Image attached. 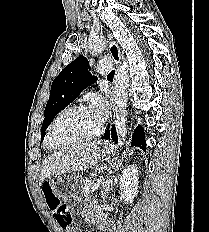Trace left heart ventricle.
I'll list each match as a JSON object with an SVG mask.
<instances>
[{
  "label": "left heart ventricle",
  "instance_id": "left-heart-ventricle-1",
  "mask_svg": "<svg viewBox=\"0 0 209 232\" xmlns=\"http://www.w3.org/2000/svg\"><path fill=\"white\" fill-rule=\"evenodd\" d=\"M100 121L92 110L70 112L63 116L54 126L51 142L53 145L58 146L87 135L97 128Z\"/></svg>",
  "mask_w": 209,
  "mask_h": 232
}]
</instances>
